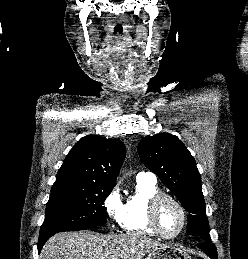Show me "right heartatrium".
<instances>
[{"label": "right heart atrium", "instance_id": "d8ad5b80", "mask_svg": "<svg viewBox=\"0 0 248 259\" xmlns=\"http://www.w3.org/2000/svg\"><path fill=\"white\" fill-rule=\"evenodd\" d=\"M105 208L112 220L118 224L121 223V214L123 209V203L120 196L118 186H115L107 195L105 202Z\"/></svg>", "mask_w": 248, "mask_h": 259}]
</instances>
